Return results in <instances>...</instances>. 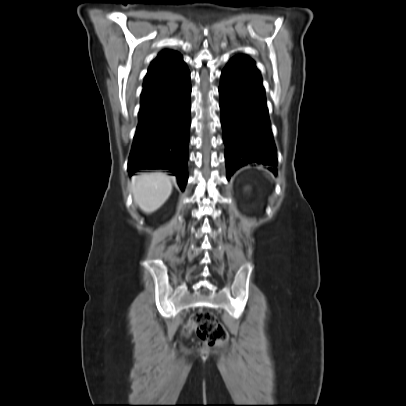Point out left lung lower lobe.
<instances>
[{
  "label": "left lung lower lobe",
  "mask_w": 406,
  "mask_h": 406,
  "mask_svg": "<svg viewBox=\"0 0 406 406\" xmlns=\"http://www.w3.org/2000/svg\"><path fill=\"white\" fill-rule=\"evenodd\" d=\"M221 124L227 179L240 167L256 162L277 173L276 147L261 75L252 59L236 55L221 74Z\"/></svg>",
  "instance_id": "obj_1"
}]
</instances>
